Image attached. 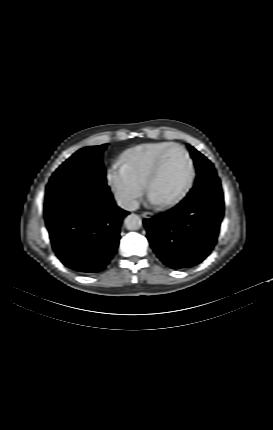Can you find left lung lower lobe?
<instances>
[{
    "label": "left lung lower lobe",
    "instance_id": "obj_1",
    "mask_svg": "<svg viewBox=\"0 0 273 430\" xmlns=\"http://www.w3.org/2000/svg\"><path fill=\"white\" fill-rule=\"evenodd\" d=\"M223 214L220 179L207 175L177 206L143 223L160 260L172 269H185L211 253Z\"/></svg>",
    "mask_w": 273,
    "mask_h": 430
}]
</instances>
